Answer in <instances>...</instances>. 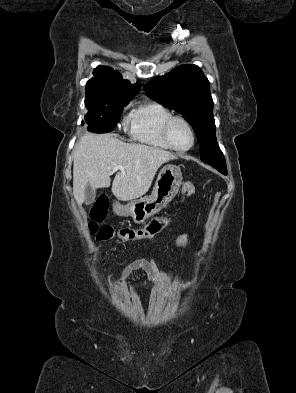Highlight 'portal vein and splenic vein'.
<instances>
[{
	"label": "portal vein and splenic vein",
	"mask_w": 296,
	"mask_h": 393,
	"mask_svg": "<svg viewBox=\"0 0 296 393\" xmlns=\"http://www.w3.org/2000/svg\"><path fill=\"white\" fill-rule=\"evenodd\" d=\"M117 170H123V167L121 165H118L113 168V171H117Z\"/></svg>",
	"instance_id": "1"
}]
</instances>
